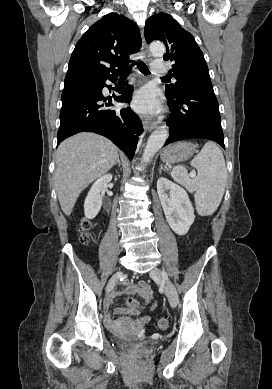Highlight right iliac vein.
<instances>
[{
    "label": "right iliac vein",
    "mask_w": 272,
    "mask_h": 389,
    "mask_svg": "<svg viewBox=\"0 0 272 389\" xmlns=\"http://www.w3.org/2000/svg\"><path fill=\"white\" fill-rule=\"evenodd\" d=\"M122 276V272L121 271H118L116 272L112 278L110 279L108 285H107V289H106V292L109 293L115 286L117 280Z\"/></svg>",
    "instance_id": "right-iliac-vein-1"
}]
</instances>
